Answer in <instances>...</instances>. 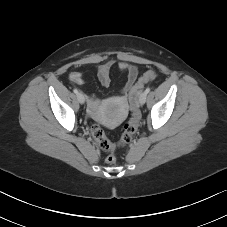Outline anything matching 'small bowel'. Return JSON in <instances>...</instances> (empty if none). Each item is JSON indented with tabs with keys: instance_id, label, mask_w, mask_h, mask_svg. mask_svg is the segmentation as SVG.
Here are the masks:
<instances>
[{
	"instance_id": "c3829d8e",
	"label": "small bowel",
	"mask_w": 227,
	"mask_h": 227,
	"mask_svg": "<svg viewBox=\"0 0 227 227\" xmlns=\"http://www.w3.org/2000/svg\"><path fill=\"white\" fill-rule=\"evenodd\" d=\"M114 66V61H107L105 63H102L98 65L96 73L97 78L102 86L108 87L111 84V77L110 73ZM117 67L120 71L124 72L126 74V81L124 86L121 89L122 95H126L128 92L131 91L133 86L135 85V82L138 77V69L135 65L130 64L125 61H121L117 64ZM69 79L72 83L76 85H81L84 83L83 75L80 72H71L69 75ZM98 106V101L95 97L89 98V107L91 110H95Z\"/></svg>"
}]
</instances>
